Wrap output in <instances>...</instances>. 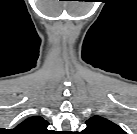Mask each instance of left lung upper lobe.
I'll return each instance as SVG.
<instances>
[{"label": "left lung upper lobe", "instance_id": "1", "mask_svg": "<svg viewBox=\"0 0 137 134\" xmlns=\"http://www.w3.org/2000/svg\"><path fill=\"white\" fill-rule=\"evenodd\" d=\"M86 124L83 134H125L121 127L101 116L91 117Z\"/></svg>", "mask_w": 137, "mask_h": 134}]
</instances>
